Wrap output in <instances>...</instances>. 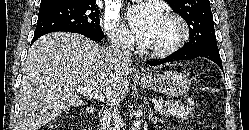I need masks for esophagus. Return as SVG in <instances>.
<instances>
[{
	"label": "esophagus",
	"instance_id": "esophagus-1",
	"mask_svg": "<svg viewBox=\"0 0 249 130\" xmlns=\"http://www.w3.org/2000/svg\"><path fill=\"white\" fill-rule=\"evenodd\" d=\"M137 75H140V76H141V75H143V72L138 70V71H137Z\"/></svg>",
	"mask_w": 249,
	"mask_h": 130
}]
</instances>
